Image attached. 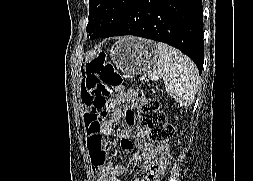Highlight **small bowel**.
Listing matches in <instances>:
<instances>
[{"mask_svg": "<svg viewBox=\"0 0 253 181\" xmlns=\"http://www.w3.org/2000/svg\"><path fill=\"white\" fill-rule=\"evenodd\" d=\"M84 79L82 81V101L85 109V124L87 126L88 148L91 151L92 168L96 174V181H120L124 174L125 167L123 165L114 164L107 160L106 152L111 145L105 144L102 135H109L112 132L113 126L123 121L124 125L120 130V136L124 140L123 147L127 150L132 149L133 143L131 141V134L128 127L135 121V114L132 109L122 110L119 108L124 103H129L132 108L137 106L136 93L134 90L118 89L117 93L108 101V108L110 110V118L105 122L91 123V130H100V134H95L89 128L87 117L89 108L85 102V95L87 93L86 75L84 69L82 70ZM135 142L139 146V151L133 153L128 158V163H140V172L146 175L149 172L151 164L158 160L160 149L158 146L144 133H139L135 137ZM96 157V159L94 158ZM133 181H144L143 178H135Z\"/></svg>", "mask_w": 253, "mask_h": 181, "instance_id": "obj_1", "label": "small bowel"}]
</instances>
